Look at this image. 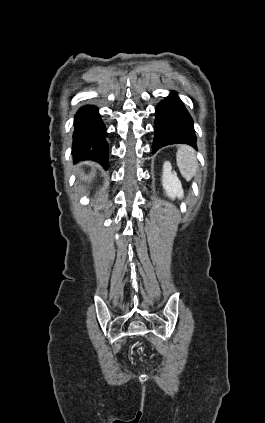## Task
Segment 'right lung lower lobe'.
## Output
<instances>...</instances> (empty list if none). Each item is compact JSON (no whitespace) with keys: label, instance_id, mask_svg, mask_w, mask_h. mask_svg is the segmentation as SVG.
Returning a JSON list of instances; mask_svg holds the SVG:
<instances>
[{"label":"right lung lower lobe","instance_id":"obj_1","mask_svg":"<svg viewBox=\"0 0 265 423\" xmlns=\"http://www.w3.org/2000/svg\"><path fill=\"white\" fill-rule=\"evenodd\" d=\"M72 154L75 161L93 160L108 169V145L105 140V126L98 109L84 106L74 119Z\"/></svg>","mask_w":265,"mask_h":423}]
</instances>
